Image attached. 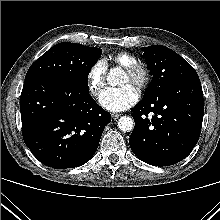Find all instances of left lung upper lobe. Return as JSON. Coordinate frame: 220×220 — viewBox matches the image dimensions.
I'll return each mask as SVG.
<instances>
[{"mask_svg": "<svg viewBox=\"0 0 220 220\" xmlns=\"http://www.w3.org/2000/svg\"><path fill=\"white\" fill-rule=\"evenodd\" d=\"M143 50L153 79L141 101H147L185 79L199 78L195 69L173 50L161 45H152Z\"/></svg>", "mask_w": 220, "mask_h": 220, "instance_id": "1", "label": "left lung upper lobe"}]
</instances>
